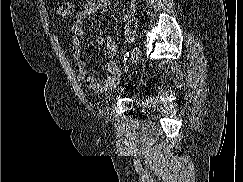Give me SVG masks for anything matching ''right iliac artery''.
Wrapping results in <instances>:
<instances>
[{
    "instance_id": "right-iliac-artery-1",
    "label": "right iliac artery",
    "mask_w": 243,
    "mask_h": 182,
    "mask_svg": "<svg viewBox=\"0 0 243 182\" xmlns=\"http://www.w3.org/2000/svg\"><path fill=\"white\" fill-rule=\"evenodd\" d=\"M129 57V52H126L125 55H124V60L126 61Z\"/></svg>"
}]
</instances>
